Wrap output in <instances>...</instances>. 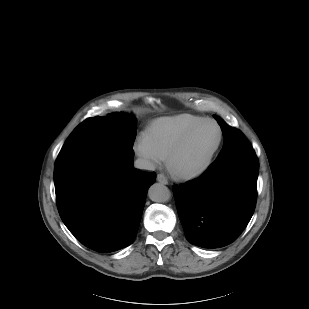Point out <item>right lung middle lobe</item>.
I'll use <instances>...</instances> for the list:
<instances>
[{"instance_id": "dd1d6c3e", "label": "right lung middle lobe", "mask_w": 309, "mask_h": 309, "mask_svg": "<svg viewBox=\"0 0 309 309\" xmlns=\"http://www.w3.org/2000/svg\"><path fill=\"white\" fill-rule=\"evenodd\" d=\"M107 124H116L118 131L110 142H119L130 148L136 137V121L126 114L113 113L107 117L88 118L81 123L68 137L62 147L56 162L55 169L65 164L71 157L77 155L90 145L106 141L103 135Z\"/></svg>"}]
</instances>
